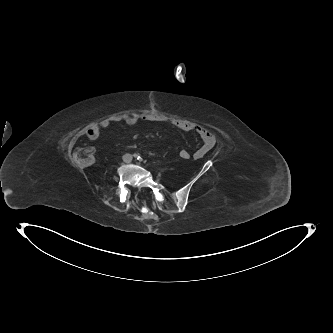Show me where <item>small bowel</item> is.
<instances>
[{
	"mask_svg": "<svg viewBox=\"0 0 333 333\" xmlns=\"http://www.w3.org/2000/svg\"><path fill=\"white\" fill-rule=\"evenodd\" d=\"M119 120H103L93 127L87 130L86 137L94 141L96 140L101 133V130L107 129L110 127L112 123L118 122ZM125 123L129 126H134L139 121H147V122H162L163 120L159 117H154L151 115H131L128 116L125 120ZM176 128L182 131H193L195 132L202 140V145L194 152L193 158L194 159H201L203 158L208 152L212 150L216 143V138L212 132H210L207 128L193 123L188 120L184 119H174L171 122Z\"/></svg>",
	"mask_w": 333,
	"mask_h": 333,
	"instance_id": "small-bowel-1",
	"label": "small bowel"
}]
</instances>
